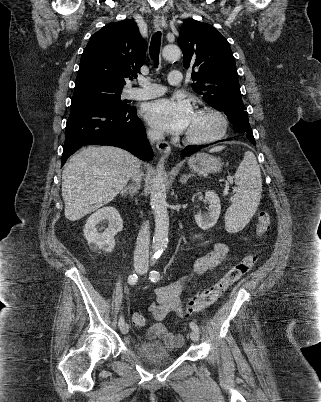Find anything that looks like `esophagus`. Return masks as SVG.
I'll use <instances>...</instances> for the list:
<instances>
[{
	"label": "esophagus",
	"instance_id": "34e87169",
	"mask_svg": "<svg viewBox=\"0 0 321 402\" xmlns=\"http://www.w3.org/2000/svg\"><path fill=\"white\" fill-rule=\"evenodd\" d=\"M154 25L156 28L161 27L162 25V19L160 17H156L154 20ZM156 147L158 149V151L166 156H168L170 154V146L167 142L165 141H158L156 144Z\"/></svg>",
	"mask_w": 321,
	"mask_h": 402
}]
</instances>
